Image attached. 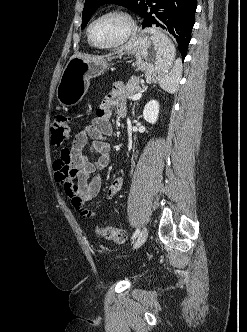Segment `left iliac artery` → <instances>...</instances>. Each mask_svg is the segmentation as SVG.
<instances>
[{"label": "left iliac artery", "instance_id": "44dca946", "mask_svg": "<svg viewBox=\"0 0 247 332\" xmlns=\"http://www.w3.org/2000/svg\"><path fill=\"white\" fill-rule=\"evenodd\" d=\"M139 233H140V229H139V228H137V229H136V231L133 233V235H132V238H131V239H132V240H133V239H135V238L138 236V234H139Z\"/></svg>", "mask_w": 247, "mask_h": 332}]
</instances>
